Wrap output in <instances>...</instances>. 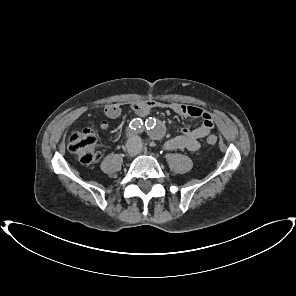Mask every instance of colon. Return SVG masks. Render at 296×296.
Instances as JSON below:
<instances>
[{"label":"colon","mask_w":296,"mask_h":296,"mask_svg":"<svg viewBox=\"0 0 296 296\" xmlns=\"http://www.w3.org/2000/svg\"><path fill=\"white\" fill-rule=\"evenodd\" d=\"M217 137L210 135L206 139L208 146L217 144ZM97 135L92 125L74 132L68 141L69 151L82 163L90 164L99 160L100 153L96 149Z\"/></svg>","instance_id":"1"}]
</instances>
